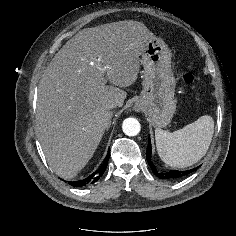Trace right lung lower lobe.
Here are the masks:
<instances>
[{"mask_svg": "<svg viewBox=\"0 0 236 236\" xmlns=\"http://www.w3.org/2000/svg\"><path fill=\"white\" fill-rule=\"evenodd\" d=\"M108 159H109V156H106L102 166L97 171H95L90 176H88L87 178L79 180V181L69 182V184L74 187H83V186L96 182L103 175L108 164Z\"/></svg>", "mask_w": 236, "mask_h": 236, "instance_id": "obj_1", "label": "right lung lower lobe"}]
</instances>
